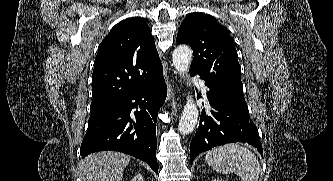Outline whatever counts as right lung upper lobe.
<instances>
[{"label":"right lung upper lobe","instance_id":"right-lung-upper-lobe-1","mask_svg":"<svg viewBox=\"0 0 333 181\" xmlns=\"http://www.w3.org/2000/svg\"><path fill=\"white\" fill-rule=\"evenodd\" d=\"M163 69L154 39L141 18L116 24L101 42L92 74L91 111L153 85Z\"/></svg>","mask_w":333,"mask_h":181}]
</instances>
